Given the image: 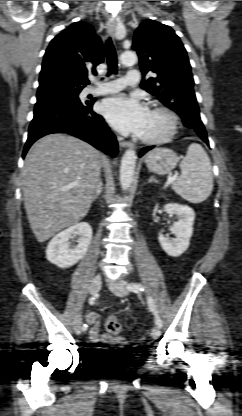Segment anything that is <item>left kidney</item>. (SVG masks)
Listing matches in <instances>:
<instances>
[{"instance_id": "5707ae66", "label": "left kidney", "mask_w": 242, "mask_h": 416, "mask_svg": "<svg viewBox=\"0 0 242 416\" xmlns=\"http://www.w3.org/2000/svg\"><path fill=\"white\" fill-rule=\"evenodd\" d=\"M164 209L168 214H175L178 221L174 223L175 238L171 239L160 234L159 243L168 255L178 257L189 247L190 238L193 233L195 213L191 207L177 203H169L164 206Z\"/></svg>"}]
</instances>
